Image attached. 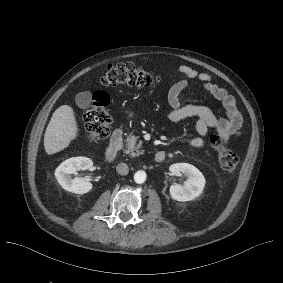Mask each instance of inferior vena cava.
Here are the masks:
<instances>
[{"mask_svg":"<svg viewBox=\"0 0 283 283\" xmlns=\"http://www.w3.org/2000/svg\"><path fill=\"white\" fill-rule=\"evenodd\" d=\"M116 170L120 175H127L129 172V167L126 163H120L117 165Z\"/></svg>","mask_w":283,"mask_h":283,"instance_id":"obj_1","label":"inferior vena cava"}]
</instances>
